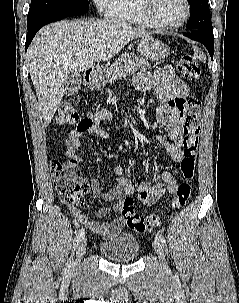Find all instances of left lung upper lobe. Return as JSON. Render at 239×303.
<instances>
[{"mask_svg": "<svg viewBox=\"0 0 239 303\" xmlns=\"http://www.w3.org/2000/svg\"><path fill=\"white\" fill-rule=\"evenodd\" d=\"M190 18L187 28L190 31H213L208 0H188Z\"/></svg>", "mask_w": 239, "mask_h": 303, "instance_id": "obj_1", "label": "left lung upper lobe"}]
</instances>
